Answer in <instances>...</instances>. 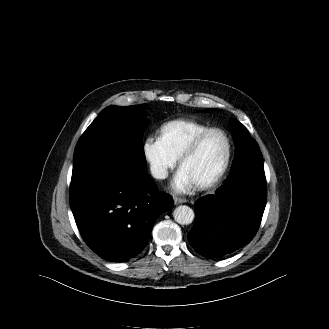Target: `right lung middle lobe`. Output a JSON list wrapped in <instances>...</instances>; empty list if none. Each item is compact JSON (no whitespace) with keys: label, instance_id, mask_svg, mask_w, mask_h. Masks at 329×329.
Listing matches in <instances>:
<instances>
[{"label":"right lung middle lobe","instance_id":"right-lung-middle-lobe-1","mask_svg":"<svg viewBox=\"0 0 329 329\" xmlns=\"http://www.w3.org/2000/svg\"><path fill=\"white\" fill-rule=\"evenodd\" d=\"M140 106H109L80 137L74 152L72 179L98 169L137 177L146 173L142 135L147 127Z\"/></svg>","mask_w":329,"mask_h":329}]
</instances>
